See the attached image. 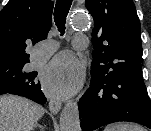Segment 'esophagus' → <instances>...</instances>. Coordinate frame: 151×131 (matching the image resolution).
<instances>
[{"label": "esophagus", "instance_id": "obj_1", "mask_svg": "<svg viewBox=\"0 0 151 131\" xmlns=\"http://www.w3.org/2000/svg\"><path fill=\"white\" fill-rule=\"evenodd\" d=\"M62 107V102L59 99H51L49 101V110L52 113H58Z\"/></svg>", "mask_w": 151, "mask_h": 131}]
</instances>
